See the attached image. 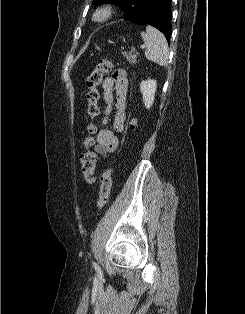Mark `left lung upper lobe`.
Masks as SVG:
<instances>
[{
  "mask_svg": "<svg viewBox=\"0 0 245 314\" xmlns=\"http://www.w3.org/2000/svg\"><path fill=\"white\" fill-rule=\"evenodd\" d=\"M144 0H93L92 4L99 6L103 3H111L118 5L125 13L124 18L128 20L137 13Z\"/></svg>",
  "mask_w": 245,
  "mask_h": 314,
  "instance_id": "1",
  "label": "left lung upper lobe"
}]
</instances>
